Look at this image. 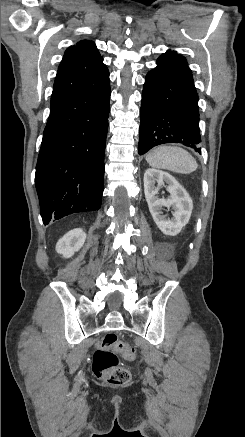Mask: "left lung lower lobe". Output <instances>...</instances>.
<instances>
[{
  "mask_svg": "<svg viewBox=\"0 0 245 437\" xmlns=\"http://www.w3.org/2000/svg\"><path fill=\"white\" fill-rule=\"evenodd\" d=\"M138 153L181 143L201 153L198 94L186 59L168 50L148 72L142 92Z\"/></svg>",
  "mask_w": 245,
  "mask_h": 437,
  "instance_id": "left-lung-lower-lobe-1",
  "label": "left lung lower lobe"
}]
</instances>
